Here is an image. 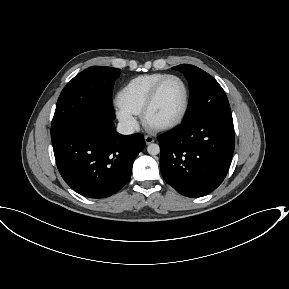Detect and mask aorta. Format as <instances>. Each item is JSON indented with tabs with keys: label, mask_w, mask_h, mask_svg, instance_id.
Wrapping results in <instances>:
<instances>
[{
	"label": "aorta",
	"mask_w": 289,
	"mask_h": 289,
	"mask_svg": "<svg viewBox=\"0 0 289 289\" xmlns=\"http://www.w3.org/2000/svg\"><path fill=\"white\" fill-rule=\"evenodd\" d=\"M147 152L150 155H157L160 153V147L158 144L152 143V144L148 145Z\"/></svg>",
	"instance_id": "aorta-1"
}]
</instances>
